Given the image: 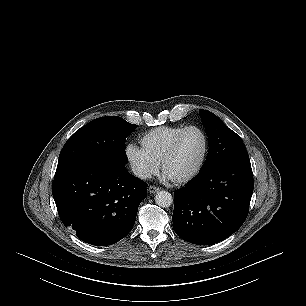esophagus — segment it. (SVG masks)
Listing matches in <instances>:
<instances>
[{
	"mask_svg": "<svg viewBox=\"0 0 306 306\" xmlns=\"http://www.w3.org/2000/svg\"><path fill=\"white\" fill-rule=\"evenodd\" d=\"M160 190H161V188L156 187V186H149V187H148V191H149L150 193H156V192H158V191H160Z\"/></svg>",
	"mask_w": 306,
	"mask_h": 306,
	"instance_id": "1",
	"label": "esophagus"
}]
</instances>
